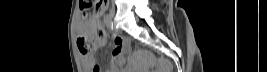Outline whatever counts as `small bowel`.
<instances>
[{
	"mask_svg": "<svg viewBox=\"0 0 267 72\" xmlns=\"http://www.w3.org/2000/svg\"><path fill=\"white\" fill-rule=\"evenodd\" d=\"M100 9L105 10L107 9V3L103 4L102 6H99ZM113 40H114V49L112 52V57L115 58L117 57V55L120 53L121 49H122V45H123V39L121 38V36L119 35H114L113 36ZM105 41H101L96 43V47H99L100 45H102ZM82 60L84 62V64L87 66L91 63V61L93 60V57L91 55H83L82 56ZM94 72H98V70H93Z\"/></svg>",
	"mask_w": 267,
	"mask_h": 72,
	"instance_id": "1",
	"label": "small bowel"
}]
</instances>
